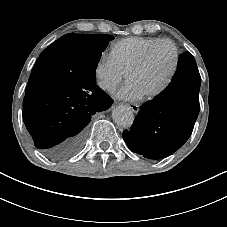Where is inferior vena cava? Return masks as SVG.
<instances>
[{
  "mask_svg": "<svg viewBox=\"0 0 227 227\" xmlns=\"http://www.w3.org/2000/svg\"><path fill=\"white\" fill-rule=\"evenodd\" d=\"M106 89L110 92V93H115L116 92V86L113 83H110L107 85Z\"/></svg>",
  "mask_w": 227,
  "mask_h": 227,
  "instance_id": "1",
  "label": "inferior vena cava"
}]
</instances>
